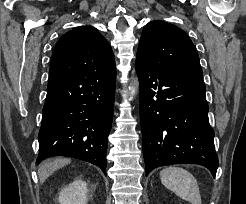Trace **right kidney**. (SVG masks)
Returning a JSON list of instances; mask_svg holds the SVG:
<instances>
[{
  "instance_id": "ca27d5eb",
  "label": "right kidney",
  "mask_w": 246,
  "mask_h": 204,
  "mask_svg": "<svg viewBox=\"0 0 246 204\" xmlns=\"http://www.w3.org/2000/svg\"><path fill=\"white\" fill-rule=\"evenodd\" d=\"M87 184L82 180H76L64 187L58 201L60 204H87Z\"/></svg>"
}]
</instances>
